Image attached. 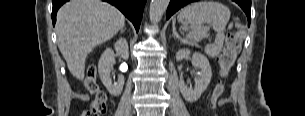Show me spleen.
<instances>
[{"label":"spleen","instance_id":"3e777b00","mask_svg":"<svg viewBox=\"0 0 305 116\" xmlns=\"http://www.w3.org/2000/svg\"><path fill=\"white\" fill-rule=\"evenodd\" d=\"M177 19L183 25L181 27L183 34L187 29L185 25L190 24V31L182 42L195 45L208 35V29L204 27V24L211 25L216 32L221 34L230 19V11L219 2L199 1L184 7ZM221 43L219 38L214 47H220Z\"/></svg>","mask_w":305,"mask_h":116}]
</instances>
